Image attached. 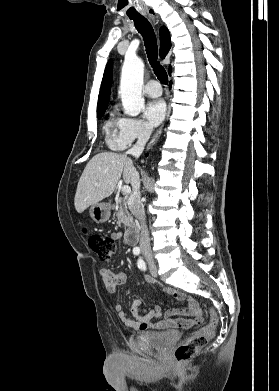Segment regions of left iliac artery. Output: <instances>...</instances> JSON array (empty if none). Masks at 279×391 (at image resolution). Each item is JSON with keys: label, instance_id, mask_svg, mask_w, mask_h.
<instances>
[{"label": "left iliac artery", "instance_id": "1", "mask_svg": "<svg viewBox=\"0 0 279 391\" xmlns=\"http://www.w3.org/2000/svg\"><path fill=\"white\" fill-rule=\"evenodd\" d=\"M138 267L141 269V270H145L146 269V266H145V263L142 259H139L138 260Z\"/></svg>", "mask_w": 279, "mask_h": 391}]
</instances>
